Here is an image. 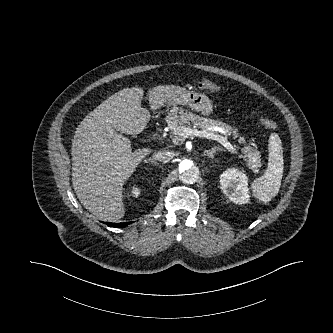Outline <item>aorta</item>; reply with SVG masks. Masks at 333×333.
Returning a JSON list of instances; mask_svg holds the SVG:
<instances>
[{
    "label": "aorta",
    "instance_id": "obj_1",
    "mask_svg": "<svg viewBox=\"0 0 333 333\" xmlns=\"http://www.w3.org/2000/svg\"><path fill=\"white\" fill-rule=\"evenodd\" d=\"M176 170L183 183L193 184L199 178V168L191 159L181 158L176 163Z\"/></svg>",
    "mask_w": 333,
    "mask_h": 333
}]
</instances>
